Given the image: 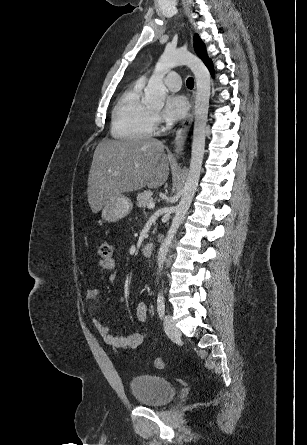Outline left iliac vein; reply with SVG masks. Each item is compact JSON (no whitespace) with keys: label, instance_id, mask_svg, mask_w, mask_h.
I'll return each instance as SVG.
<instances>
[{"label":"left iliac vein","instance_id":"1","mask_svg":"<svg viewBox=\"0 0 307 445\" xmlns=\"http://www.w3.org/2000/svg\"><path fill=\"white\" fill-rule=\"evenodd\" d=\"M163 325H164V330L169 337L175 338L181 335V332L176 326L175 321L173 320L171 315L169 314L165 315Z\"/></svg>","mask_w":307,"mask_h":445}]
</instances>
